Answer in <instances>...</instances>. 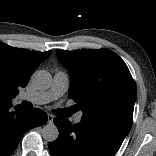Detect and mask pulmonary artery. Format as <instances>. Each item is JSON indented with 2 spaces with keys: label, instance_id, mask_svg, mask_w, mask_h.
<instances>
[{
  "label": "pulmonary artery",
  "instance_id": "e3ab8cb5",
  "mask_svg": "<svg viewBox=\"0 0 156 156\" xmlns=\"http://www.w3.org/2000/svg\"><path fill=\"white\" fill-rule=\"evenodd\" d=\"M69 88V77L63 71H57L54 74L51 87L46 91H34L26 92L21 98L30 101L34 104H46L51 101L59 99L63 96ZM82 118V112L77 113L73 117L74 123H80Z\"/></svg>",
  "mask_w": 156,
  "mask_h": 156
}]
</instances>
